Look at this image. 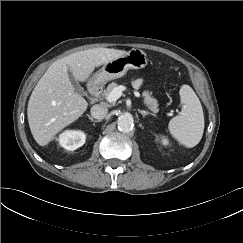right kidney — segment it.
I'll list each match as a JSON object with an SVG mask.
<instances>
[{
  "label": "right kidney",
  "instance_id": "1",
  "mask_svg": "<svg viewBox=\"0 0 243 243\" xmlns=\"http://www.w3.org/2000/svg\"><path fill=\"white\" fill-rule=\"evenodd\" d=\"M86 134L80 130H66L58 137L59 144L68 151H74L84 145Z\"/></svg>",
  "mask_w": 243,
  "mask_h": 243
}]
</instances>
